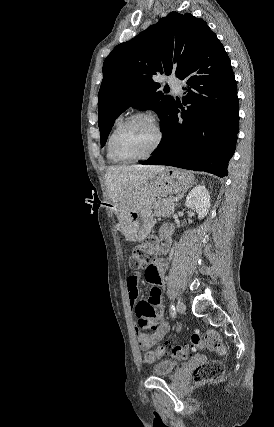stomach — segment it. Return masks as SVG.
<instances>
[{"mask_svg":"<svg viewBox=\"0 0 274 427\" xmlns=\"http://www.w3.org/2000/svg\"><path fill=\"white\" fill-rule=\"evenodd\" d=\"M193 184V174L175 168H165L154 178L142 180L131 202H120L114 206L126 239L142 241L147 237L155 223L153 204L159 196L186 192Z\"/></svg>","mask_w":274,"mask_h":427,"instance_id":"obj_1","label":"stomach"}]
</instances>
